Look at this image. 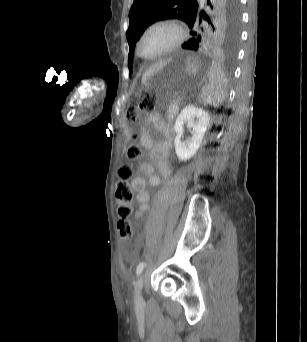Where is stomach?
<instances>
[{
	"instance_id": "1",
	"label": "stomach",
	"mask_w": 307,
	"mask_h": 342,
	"mask_svg": "<svg viewBox=\"0 0 307 342\" xmlns=\"http://www.w3.org/2000/svg\"><path fill=\"white\" fill-rule=\"evenodd\" d=\"M177 66H179L178 61L172 60L168 62L167 67L164 66L161 70L155 72L146 80V89L150 91H161V89L165 86L164 80L170 76L171 70L175 69ZM176 96H178V94H175V97Z\"/></svg>"
}]
</instances>
